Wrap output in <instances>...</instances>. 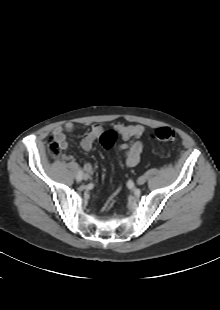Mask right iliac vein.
<instances>
[{
    "mask_svg": "<svg viewBox=\"0 0 220 310\" xmlns=\"http://www.w3.org/2000/svg\"><path fill=\"white\" fill-rule=\"evenodd\" d=\"M83 179H84V180H88V179H89V175H88V174H84V175H83Z\"/></svg>",
    "mask_w": 220,
    "mask_h": 310,
    "instance_id": "right-iliac-vein-1",
    "label": "right iliac vein"
}]
</instances>
